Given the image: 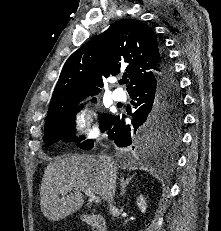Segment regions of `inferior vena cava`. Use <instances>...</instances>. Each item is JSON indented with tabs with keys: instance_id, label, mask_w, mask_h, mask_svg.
<instances>
[{
	"instance_id": "1",
	"label": "inferior vena cava",
	"mask_w": 221,
	"mask_h": 231,
	"mask_svg": "<svg viewBox=\"0 0 221 231\" xmlns=\"http://www.w3.org/2000/svg\"><path fill=\"white\" fill-rule=\"evenodd\" d=\"M98 160L107 174V202L109 211H113L115 209L114 196L116 192L117 167L112 157L103 152L99 155Z\"/></svg>"
}]
</instances>
